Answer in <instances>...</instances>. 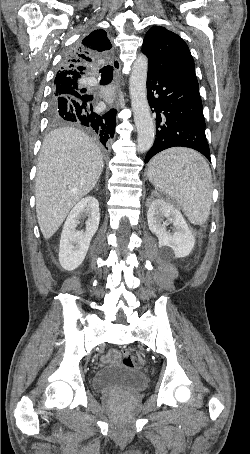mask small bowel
Here are the masks:
<instances>
[{
    "label": "small bowel",
    "instance_id": "obj_1",
    "mask_svg": "<svg viewBox=\"0 0 250 454\" xmlns=\"http://www.w3.org/2000/svg\"><path fill=\"white\" fill-rule=\"evenodd\" d=\"M116 357V352L115 351H111L109 354H107L106 356H104V361H111L113 360L114 358Z\"/></svg>",
    "mask_w": 250,
    "mask_h": 454
}]
</instances>
